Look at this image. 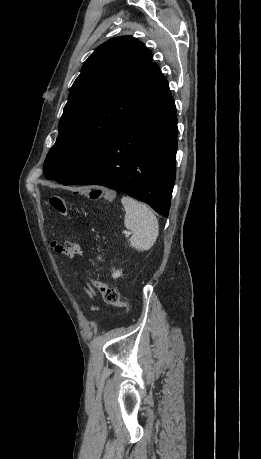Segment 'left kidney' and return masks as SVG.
<instances>
[{
    "label": "left kidney",
    "mask_w": 261,
    "mask_h": 459,
    "mask_svg": "<svg viewBox=\"0 0 261 459\" xmlns=\"http://www.w3.org/2000/svg\"><path fill=\"white\" fill-rule=\"evenodd\" d=\"M121 274H122V272L119 271V270H118V271H114L113 274H112V277H113V278H118V277L121 276Z\"/></svg>",
    "instance_id": "1"
}]
</instances>
